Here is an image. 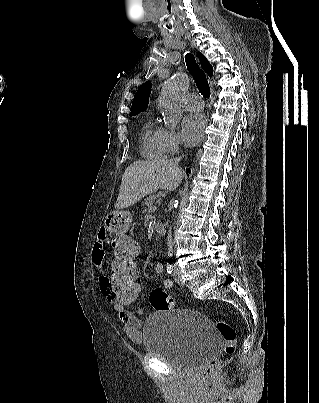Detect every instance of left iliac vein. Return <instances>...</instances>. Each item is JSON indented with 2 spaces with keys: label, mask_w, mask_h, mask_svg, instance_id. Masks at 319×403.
<instances>
[{
  "label": "left iliac vein",
  "mask_w": 319,
  "mask_h": 403,
  "mask_svg": "<svg viewBox=\"0 0 319 403\" xmlns=\"http://www.w3.org/2000/svg\"><path fill=\"white\" fill-rule=\"evenodd\" d=\"M174 280L177 284L183 285V280L181 276V271L177 266H174V272H173Z\"/></svg>",
  "instance_id": "1"
}]
</instances>
